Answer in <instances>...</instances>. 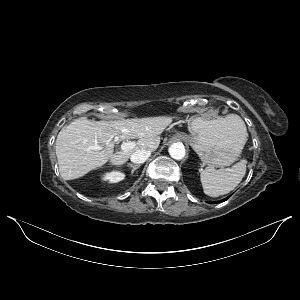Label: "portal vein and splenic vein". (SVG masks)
Instances as JSON below:
<instances>
[{
	"label": "portal vein and splenic vein",
	"instance_id": "portal-vein-and-splenic-vein-1",
	"mask_svg": "<svg viewBox=\"0 0 300 300\" xmlns=\"http://www.w3.org/2000/svg\"><path fill=\"white\" fill-rule=\"evenodd\" d=\"M135 147V142H123L121 144V150L122 151H129V150H132L133 148Z\"/></svg>",
	"mask_w": 300,
	"mask_h": 300
}]
</instances>
